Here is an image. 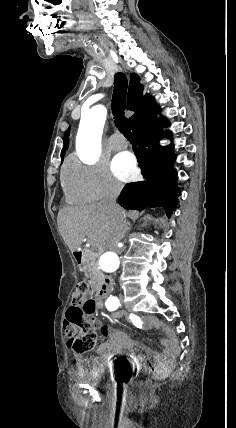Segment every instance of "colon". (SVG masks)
I'll list each match as a JSON object with an SVG mask.
<instances>
[{"mask_svg":"<svg viewBox=\"0 0 236 428\" xmlns=\"http://www.w3.org/2000/svg\"><path fill=\"white\" fill-rule=\"evenodd\" d=\"M95 308L96 302L89 296L88 285L85 282L78 283L64 321L68 345L76 353L89 352L96 344L94 325L90 318ZM144 384L148 385L149 381L146 380Z\"/></svg>","mask_w":236,"mask_h":428,"instance_id":"1","label":"colon"}]
</instances>
